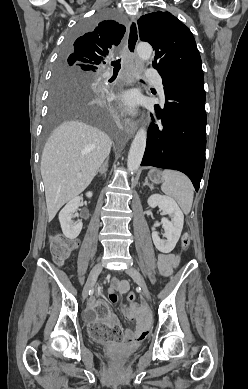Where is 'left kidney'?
Listing matches in <instances>:
<instances>
[{"instance_id": "5707ae66", "label": "left kidney", "mask_w": 248, "mask_h": 389, "mask_svg": "<svg viewBox=\"0 0 248 389\" xmlns=\"http://www.w3.org/2000/svg\"><path fill=\"white\" fill-rule=\"evenodd\" d=\"M147 203L151 208L158 206L164 215H169L171 218V220L163 218L161 221V224L165 229L166 240L160 239L158 232L155 231V228L158 227L160 223L155 222L152 227V239L155 247L160 252L169 253L175 248L180 238L184 224V215L177 203L172 198L165 195H151L148 198Z\"/></svg>"}]
</instances>
